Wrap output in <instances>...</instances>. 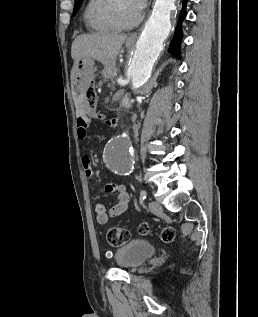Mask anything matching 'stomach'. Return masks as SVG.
<instances>
[{"mask_svg":"<svg viewBox=\"0 0 258 317\" xmlns=\"http://www.w3.org/2000/svg\"><path fill=\"white\" fill-rule=\"evenodd\" d=\"M125 46L126 48H132L133 40H130V38H127L125 42ZM74 70H75L74 82L75 84H78L81 74H86V72H94L93 58H90V56H81V58L77 60L74 66Z\"/></svg>","mask_w":258,"mask_h":317,"instance_id":"stomach-1","label":"stomach"}]
</instances>
